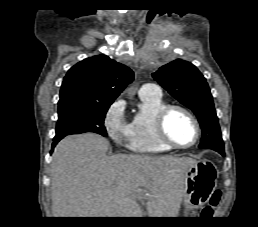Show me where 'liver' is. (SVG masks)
Instances as JSON below:
<instances>
[{"mask_svg":"<svg viewBox=\"0 0 258 227\" xmlns=\"http://www.w3.org/2000/svg\"><path fill=\"white\" fill-rule=\"evenodd\" d=\"M93 133L69 136L51 163L54 217H176L184 194L188 157L117 154Z\"/></svg>","mask_w":258,"mask_h":227,"instance_id":"liver-1","label":"liver"}]
</instances>
